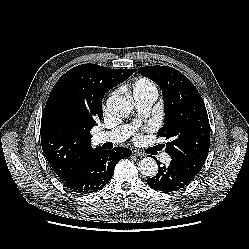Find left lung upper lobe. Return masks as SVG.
Listing matches in <instances>:
<instances>
[{
  "label": "left lung upper lobe",
  "mask_w": 249,
  "mask_h": 249,
  "mask_svg": "<svg viewBox=\"0 0 249 249\" xmlns=\"http://www.w3.org/2000/svg\"><path fill=\"white\" fill-rule=\"evenodd\" d=\"M138 71L162 87L167 117L158 135L175 136L166 144V151L185 170L199 173L210 145V124L201 95L186 76L172 67L145 66Z\"/></svg>",
  "instance_id": "obj_1"
}]
</instances>
